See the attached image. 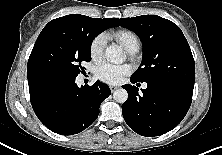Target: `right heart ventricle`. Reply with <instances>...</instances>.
<instances>
[{"mask_svg": "<svg viewBox=\"0 0 222 155\" xmlns=\"http://www.w3.org/2000/svg\"><path fill=\"white\" fill-rule=\"evenodd\" d=\"M114 39L129 52H135L140 47L138 36L131 30L121 29L113 33Z\"/></svg>", "mask_w": 222, "mask_h": 155, "instance_id": "obj_1", "label": "right heart ventricle"}]
</instances>
